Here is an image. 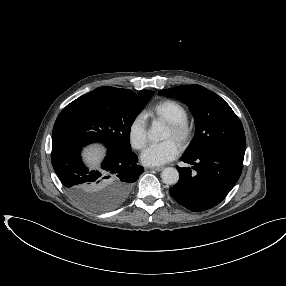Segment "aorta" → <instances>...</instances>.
Segmentation results:
<instances>
[{
  "label": "aorta",
  "mask_w": 286,
  "mask_h": 286,
  "mask_svg": "<svg viewBox=\"0 0 286 286\" xmlns=\"http://www.w3.org/2000/svg\"><path fill=\"white\" fill-rule=\"evenodd\" d=\"M164 126L160 123H153L148 130V138L151 141L157 142L164 139ZM162 181L165 184L174 185L179 180V172L176 168L167 167L161 173Z\"/></svg>",
  "instance_id": "762f6f07"
}]
</instances>
